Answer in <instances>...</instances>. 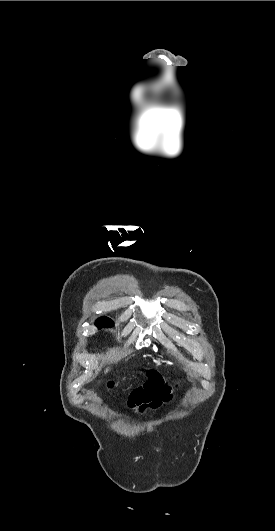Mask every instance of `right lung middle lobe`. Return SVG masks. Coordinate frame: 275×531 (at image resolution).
<instances>
[{
    "label": "right lung middle lobe",
    "instance_id": "dd1d6c3e",
    "mask_svg": "<svg viewBox=\"0 0 275 531\" xmlns=\"http://www.w3.org/2000/svg\"><path fill=\"white\" fill-rule=\"evenodd\" d=\"M95 325L98 328H102V327H112L114 324H113V321L110 318H108V317H100V318H98L96 320Z\"/></svg>",
    "mask_w": 275,
    "mask_h": 531
}]
</instances>
